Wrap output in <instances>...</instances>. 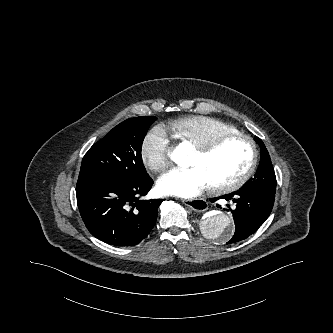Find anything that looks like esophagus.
Masks as SVG:
<instances>
[{
	"instance_id": "34e87169",
	"label": "esophagus",
	"mask_w": 333,
	"mask_h": 333,
	"mask_svg": "<svg viewBox=\"0 0 333 333\" xmlns=\"http://www.w3.org/2000/svg\"><path fill=\"white\" fill-rule=\"evenodd\" d=\"M183 204L192 208L196 212H203L207 209V203L203 199H186L182 200Z\"/></svg>"
}]
</instances>
